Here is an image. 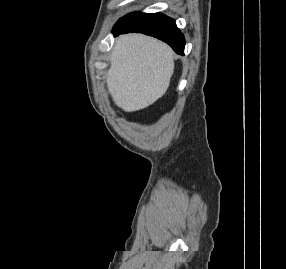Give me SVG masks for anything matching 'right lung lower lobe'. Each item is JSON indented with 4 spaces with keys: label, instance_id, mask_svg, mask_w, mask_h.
Segmentation results:
<instances>
[{
    "label": "right lung lower lobe",
    "instance_id": "right-lung-lower-lobe-1",
    "mask_svg": "<svg viewBox=\"0 0 286 269\" xmlns=\"http://www.w3.org/2000/svg\"><path fill=\"white\" fill-rule=\"evenodd\" d=\"M138 32L156 37L168 43L173 50L183 55L185 39L177 28L175 21L163 14H143L129 25L114 29V35Z\"/></svg>",
    "mask_w": 286,
    "mask_h": 269
}]
</instances>
